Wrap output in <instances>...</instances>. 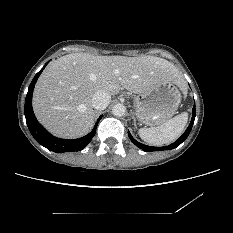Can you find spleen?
Segmentation results:
<instances>
[{
    "label": "spleen",
    "mask_w": 233,
    "mask_h": 233,
    "mask_svg": "<svg viewBox=\"0 0 233 233\" xmlns=\"http://www.w3.org/2000/svg\"><path fill=\"white\" fill-rule=\"evenodd\" d=\"M188 114L183 112L157 127L140 128L139 136L148 144L160 146L175 141L184 131Z\"/></svg>",
    "instance_id": "1"
}]
</instances>
